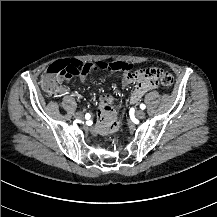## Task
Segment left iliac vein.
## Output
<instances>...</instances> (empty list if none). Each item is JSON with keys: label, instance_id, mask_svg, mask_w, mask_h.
<instances>
[{"label": "left iliac vein", "instance_id": "1", "mask_svg": "<svg viewBox=\"0 0 217 217\" xmlns=\"http://www.w3.org/2000/svg\"><path fill=\"white\" fill-rule=\"evenodd\" d=\"M135 116L138 119H143L146 116V113L143 110H138L135 112Z\"/></svg>", "mask_w": 217, "mask_h": 217}]
</instances>
